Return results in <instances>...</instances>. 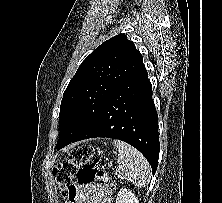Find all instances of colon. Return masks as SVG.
Listing matches in <instances>:
<instances>
[{
	"label": "colon",
	"instance_id": "1",
	"mask_svg": "<svg viewBox=\"0 0 222 203\" xmlns=\"http://www.w3.org/2000/svg\"><path fill=\"white\" fill-rule=\"evenodd\" d=\"M53 175L67 197L74 178L80 184H91L94 181L110 184L107 174L100 167L98 156L90 145L78 146L71 150L68 157L54 168Z\"/></svg>",
	"mask_w": 222,
	"mask_h": 203
}]
</instances>
